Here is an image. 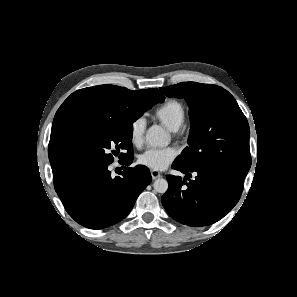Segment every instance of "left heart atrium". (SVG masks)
<instances>
[{
	"label": "left heart atrium",
	"mask_w": 297,
	"mask_h": 297,
	"mask_svg": "<svg viewBox=\"0 0 297 297\" xmlns=\"http://www.w3.org/2000/svg\"><path fill=\"white\" fill-rule=\"evenodd\" d=\"M174 147L147 149L139 156V163L155 171L164 170L176 157Z\"/></svg>",
	"instance_id": "39dd6f15"
}]
</instances>
